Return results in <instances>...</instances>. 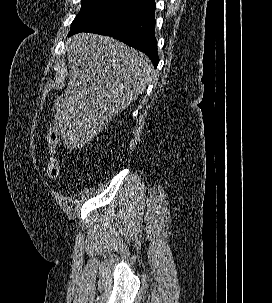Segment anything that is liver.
<instances>
[{
	"label": "liver",
	"instance_id": "1",
	"mask_svg": "<svg viewBox=\"0 0 272 303\" xmlns=\"http://www.w3.org/2000/svg\"><path fill=\"white\" fill-rule=\"evenodd\" d=\"M68 86L54 101V128L67 148L90 142L153 79L142 52L111 37L79 33L66 42Z\"/></svg>",
	"mask_w": 272,
	"mask_h": 303
}]
</instances>
